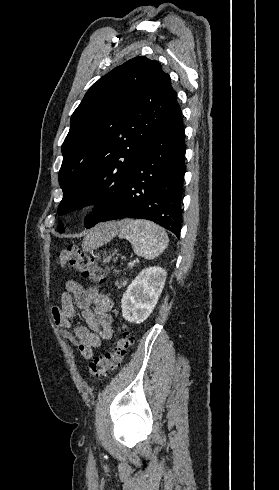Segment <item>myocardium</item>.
Segmentation results:
<instances>
[{
    "mask_svg": "<svg viewBox=\"0 0 279 490\" xmlns=\"http://www.w3.org/2000/svg\"><path fill=\"white\" fill-rule=\"evenodd\" d=\"M108 199V194L100 190L91 191L83 201L82 206L85 209L95 208Z\"/></svg>",
    "mask_w": 279,
    "mask_h": 490,
    "instance_id": "obj_1",
    "label": "myocardium"
}]
</instances>
